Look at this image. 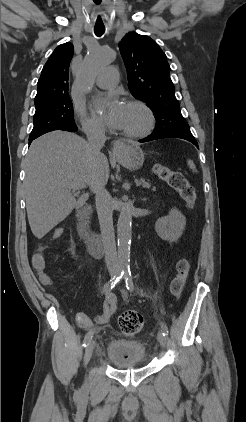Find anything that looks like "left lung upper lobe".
<instances>
[{
    "label": "left lung upper lobe",
    "mask_w": 246,
    "mask_h": 422,
    "mask_svg": "<svg viewBox=\"0 0 246 422\" xmlns=\"http://www.w3.org/2000/svg\"><path fill=\"white\" fill-rule=\"evenodd\" d=\"M119 49L131 93L154 112L156 127L153 133L190 132L175 97L170 66L159 45L149 36L130 32L119 43Z\"/></svg>",
    "instance_id": "5c2ea615"
}]
</instances>
